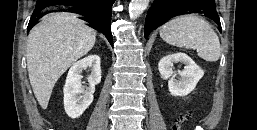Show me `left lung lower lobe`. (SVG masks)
<instances>
[{
    "mask_svg": "<svg viewBox=\"0 0 257 130\" xmlns=\"http://www.w3.org/2000/svg\"><path fill=\"white\" fill-rule=\"evenodd\" d=\"M190 12L199 13L212 19L220 26L219 30L221 31V23L214 0H156L147 13L144 27L145 38L153 29L171 18Z\"/></svg>",
    "mask_w": 257,
    "mask_h": 130,
    "instance_id": "0a47b994",
    "label": "left lung lower lobe"
}]
</instances>
